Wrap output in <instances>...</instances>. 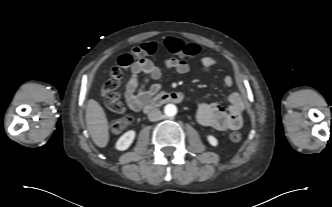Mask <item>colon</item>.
Returning <instances> with one entry per match:
<instances>
[{"mask_svg": "<svg viewBox=\"0 0 332 207\" xmlns=\"http://www.w3.org/2000/svg\"><path fill=\"white\" fill-rule=\"evenodd\" d=\"M164 46L171 54L184 58H194L200 51L196 44L184 43L175 37L166 38L164 40ZM158 47L159 43L157 41H151L133 48L130 53H125L118 58L117 64L112 67L108 79L102 84L100 89V97L109 109L116 113L124 112V106L120 101V95L117 91L121 83L123 70L131 67L136 60L155 53ZM130 121L131 118L129 116H122L113 120L110 124L112 132H122L129 126ZM228 138L232 142H239L241 140V134L239 132H231Z\"/></svg>", "mask_w": 332, "mask_h": 207, "instance_id": "obj_1", "label": "colon"}]
</instances>
